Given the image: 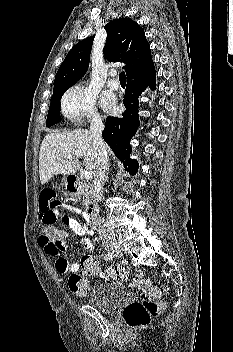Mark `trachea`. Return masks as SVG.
<instances>
[{"mask_svg": "<svg viewBox=\"0 0 233 352\" xmlns=\"http://www.w3.org/2000/svg\"><path fill=\"white\" fill-rule=\"evenodd\" d=\"M119 80L120 82H126V76L124 71L119 74Z\"/></svg>", "mask_w": 233, "mask_h": 352, "instance_id": "trachea-1", "label": "trachea"}]
</instances>
